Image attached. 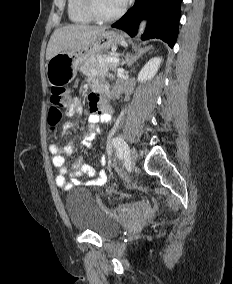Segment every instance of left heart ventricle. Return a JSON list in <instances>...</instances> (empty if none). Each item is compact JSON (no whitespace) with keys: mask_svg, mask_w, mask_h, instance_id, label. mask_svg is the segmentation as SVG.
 Here are the masks:
<instances>
[{"mask_svg":"<svg viewBox=\"0 0 233 284\" xmlns=\"http://www.w3.org/2000/svg\"><path fill=\"white\" fill-rule=\"evenodd\" d=\"M99 9L105 14H112L121 8L118 0H97Z\"/></svg>","mask_w":233,"mask_h":284,"instance_id":"b2bd125f","label":"left heart ventricle"}]
</instances>
